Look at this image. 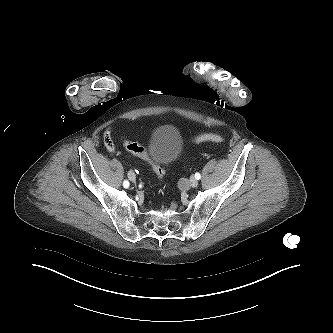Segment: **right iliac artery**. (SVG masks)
Wrapping results in <instances>:
<instances>
[{"instance_id": "obj_1", "label": "right iliac artery", "mask_w": 333, "mask_h": 333, "mask_svg": "<svg viewBox=\"0 0 333 333\" xmlns=\"http://www.w3.org/2000/svg\"><path fill=\"white\" fill-rule=\"evenodd\" d=\"M123 186H124V188H128V187H129V182H128V180H125V181L123 182Z\"/></svg>"}]
</instances>
